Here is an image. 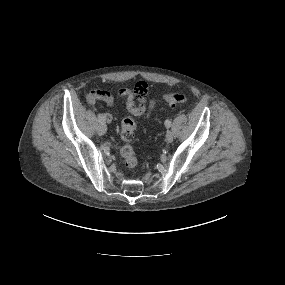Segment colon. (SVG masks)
I'll return each mask as SVG.
<instances>
[{
	"label": "colon",
	"mask_w": 285,
	"mask_h": 285,
	"mask_svg": "<svg viewBox=\"0 0 285 285\" xmlns=\"http://www.w3.org/2000/svg\"><path fill=\"white\" fill-rule=\"evenodd\" d=\"M146 88L147 84L144 81H139L136 84L134 90L138 94L143 92ZM164 99L170 105H183L188 101L187 96L182 92L167 94L164 96ZM136 129L137 121L133 117L126 116L125 118H123L120 128V135L123 141V145L121 146L120 152L124 163L128 168H134L138 163L135 150L131 144Z\"/></svg>",
	"instance_id": "colon-1"
}]
</instances>
